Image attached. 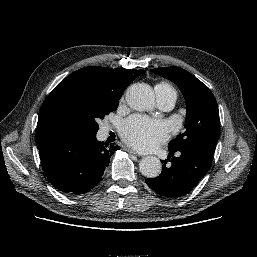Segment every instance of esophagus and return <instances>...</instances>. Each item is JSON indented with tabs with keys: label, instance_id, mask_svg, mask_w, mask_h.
<instances>
[{
	"label": "esophagus",
	"instance_id": "34e87169",
	"mask_svg": "<svg viewBox=\"0 0 257 257\" xmlns=\"http://www.w3.org/2000/svg\"><path fill=\"white\" fill-rule=\"evenodd\" d=\"M126 150L131 155L140 156V154L134 151L133 149L127 148Z\"/></svg>",
	"mask_w": 257,
	"mask_h": 257
}]
</instances>
